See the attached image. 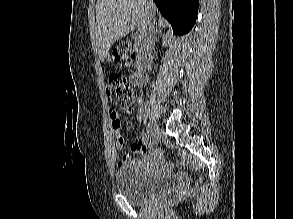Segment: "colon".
<instances>
[{
  "label": "colon",
  "mask_w": 293,
  "mask_h": 219,
  "mask_svg": "<svg viewBox=\"0 0 293 219\" xmlns=\"http://www.w3.org/2000/svg\"><path fill=\"white\" fill-rule=\"evenodd\" d=\"M111 60L121 63L126 67H131L137 60V56L128 45L123 44L114 48L110 56ZM109 89L115 94L116 99L121 104L123 110L127 113L132 112V101L134 98V90L128 83L126 77L122 74L115 73L109 78ZM192 188L184 183L183 186L176 191V198H184L188 196Z\"/></svg>",
  "instance_id": "1"
}]
</instances>
